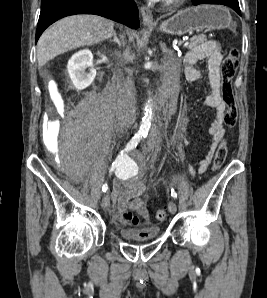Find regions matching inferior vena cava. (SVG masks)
I'll use <instances>...</instances> for the list:
<instances>
[{
    "mask_svg": "<svg viewBox=\"0 0 267 298\" xmlns=\"http://www.w3.org/2000/svg\"><path fill=\"white\" fill-rule=\"evenodd\" d=\"M130 58H133V56H130ZM128 74L129 76L118 91L117 118L121 125H130L135 120L134 82L130 78L132 72L128 71Z\"/></svg>",
    "mask_w": 267,
    "mask_h": 298,
    "instance_id": "602c4592",
    "label": "inferior vena cava"
}]
</instances>
